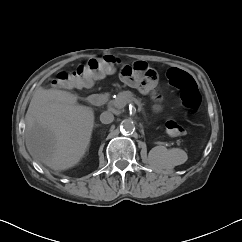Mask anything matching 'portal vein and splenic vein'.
Returning <instances> with one entry per match:
<instances>
[{
  "label": "portal vein and splenic vein",
  "mask_w": 242,
  "mask_h": 242,
  "mask_svg": "<svg viewBox=\"0 0 242 242\" xmlns=\"http://www.w3.org/2000/svg\"><path fill=\"white\" fill-rule=\"evenodd\" d=\"M139 107H138V110L139 111H142V108L140 107V105L138 103H136Z\"/></svg>",
  "instance_id": "1"
}]
</instances>
